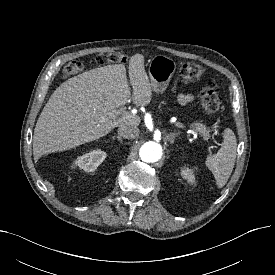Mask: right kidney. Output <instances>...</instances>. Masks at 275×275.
Instances as JSON below:
<instances>
[{
    "instance_id": "ca27d5eb",
    "label": "right kidney",
    "mask_w": 275,
    "mask_h": 275,
    "mask_svg": "<svg viewBox=\"0 0 275 275\" xmlns=\"http://www.w3.org/2000/svg\"><path fill=\"white\" fill-rule=\"evenodd\" d=\"M105 158L106 153L98 149L78 157L75 161V164L85 172H93L104 161Z\"/></svg>"
}]
</instances>
